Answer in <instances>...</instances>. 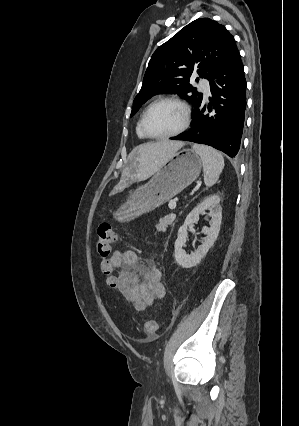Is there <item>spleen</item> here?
I'll return each instance as SVG.
<instances>
[{"instance_id":"3e777b00","label":"spleen","mask_w":299,"mask_h":426,"mask_svg":"<svg viewBox=\"0 0 299 426\" xmlns=\"http://www.w3.org/2000/svg\"><path fill=\"white\" fill-rule=\"evenodd\" d=\"M193 150L202 160L205 185H214L224 168L222 154L209 146L199 144L193 145Z\"/></svg>"}]
</instances>
